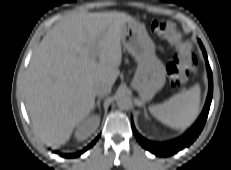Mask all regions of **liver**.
Here are the masks:
<instances>
[{
    "instance_id": "liver-1",
    "label": "liver",
    "mask_w": 231,
    "mask_h": 170,
    "mask_svg": "<svg viewBox=\"0 0 231 170\" xmlns=\"http://www.w3.org/2000/svg\"><path fill=\"white\" fill-rule=\"evenodd\" d=\"M132 21L125 13H89L80 7L49 30L23 81L39 140L55 149L67 143L94 107V86L114 84L120 73L122 28Z\"/></svg>"
}]
</instances>
